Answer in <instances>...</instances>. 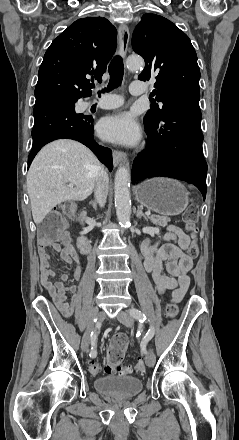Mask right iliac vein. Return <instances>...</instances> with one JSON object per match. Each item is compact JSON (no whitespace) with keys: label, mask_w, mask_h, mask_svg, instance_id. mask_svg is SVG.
<instances>
[{"label":"right iliac vein","mask_w":239,"mask_h":440,"mask_svg":"<svg viewBox=\"0 0 239 440\" xmlns=\"http://www.w3.org/2000/svg\"><path fill=\"white\" fill-rule=\"evenodd\" d=\"M106 314L104 311H101L97 314V317L99 320H103L105 318ZM93 321H91L82 337V342H81V349L83 351H87L88 347H89V342H90V333L93 329Z\"/></svg>","instance_id":"1"}]
</instances>
